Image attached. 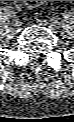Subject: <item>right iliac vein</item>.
<instances>
[{
  "instance_id": "obj_1",
  "label": "right iliac vein",
  "mask_w": 74,
  "mask_h": 122,
  "mask_svg": "<svg viewBox=\"0 0 74 122\" xmlns=\"http://www.w3.org/2000/svg\"><path fill=\"white\" fill-rule=\"evenodd\" d=\"M13 29L18 32L21 29V23L18 20L13 21L12 23Z\"/></svg>"
}]
</instances>
